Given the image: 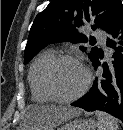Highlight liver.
Listing matches in <instances>:
<instances>
[{"label":"liver","instance_id":"obj_1","mask_svg":"<svg viewBox=\"0 0 123 130\" xmlns=\"http://www.w3.org/2000/svg\"><path fill=\"white\" fill-rule=\"evenodd\" d=\"M80 113L77 109L61 105L34 106L26 115L24 130H53Z\"/></svg>","mask_w":123,"mask_h":130}]
</instances>
